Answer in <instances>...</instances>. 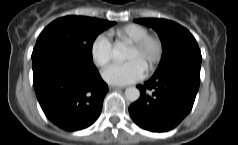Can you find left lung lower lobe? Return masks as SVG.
<instances>
[{
    "label": "left lung lower lobe",
    "mask_w": 238,
    "mask_h": 145,
    "mask_svg": "<svg viewBox=\"0 0 238 145\" xmlns=\"http://www.w3.org/2000/svg\"><path fill=\"white\" fill-rule=\"evenodd\" d=\"M201 63H187L154 73L141 96L129 107L132 119L143 129L166 132L176 127L191 111L200 84Z\"/></svg>",
    "instance_id": "0a47b994"
}]
</instances>
